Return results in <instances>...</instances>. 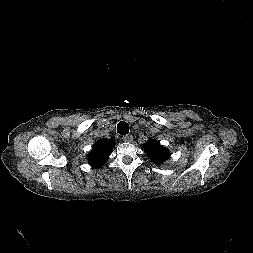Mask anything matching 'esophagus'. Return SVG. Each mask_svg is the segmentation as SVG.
Wrapping results in <instances>:
<instances>
[{"mask_svg": "<svg viewBox=\"0 0 253 253\" xmlns=\"http://www.w3.org/2000/svg\"><path fill=\"white\" fill-rule=\"evenodd\" d=\"M122 139L125 142H131L133 140V136L132 135H126V136H123Z\"/></svg>", "mask_w": 253, "mask_h": 253, "instance_id": "obj_1", "label": "esophagus"}]
</instances>
